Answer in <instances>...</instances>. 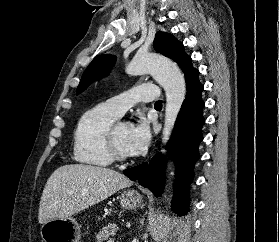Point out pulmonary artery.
<instances>
[{"instance_id":"e3ab8cb5","label":"pulmonary artery","mask_w":279,"mask_h":242,"mask_svg":"<svg viewBox=\"0 0 279 242\" xmlns=\"http://www.w3.org/2000/svg\"><path fill=\"white\" fill-rule=\"evenodd\" d=\"M159 96L158 87L143 84L108 99L104 104L117 116L138 102L156 101Z\"/></svg>"}]
</instances>
